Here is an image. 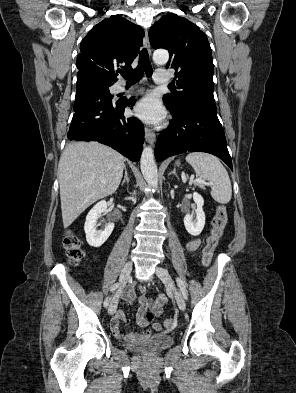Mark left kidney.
I'll return each mask as SVG.
<instances>
[{"label": "left kidney", "mask_w": 296, "mask_h": 393, "mask_svg": "<svg viewBox=\"0 0 296 393\" xmlns=\"http://www.w3.org/2000/svg\"><path fill=\"white\" fill-rule=\"evenodd\" d=\"M193 200L197 204V210L195 212L196 219L193 220V216L187 214L184 217V225L190 235L198 236L205 226V213L202 208L204 205V199L199 193L194 192Z\"/></svg>", "instance_id": "left-kidney-1"}]
</instances>
